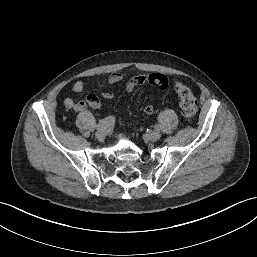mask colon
Wrapping results in <instances>:
<instances>
[{
	"instance_id": "colon-1",
	"label": "colon",
	"mask_w": 257,
	"mask_h": 257,
	"mask_svg": "<svg viewBox=\"0 0 257 257\" xmlns=\"http://www.w3.org/2000/svg\"><path fill=\"white\" fill-rule=\"evenodd\" d=\"M174 90L176 91L182 114L187 121H191L197 112V101L191 89L181 82H175Z\"/></svg>"
}]
</instances>
